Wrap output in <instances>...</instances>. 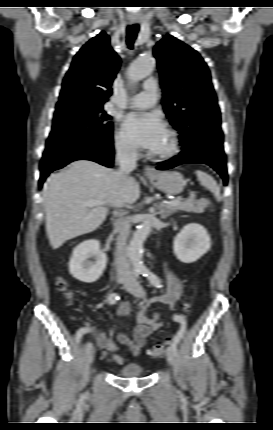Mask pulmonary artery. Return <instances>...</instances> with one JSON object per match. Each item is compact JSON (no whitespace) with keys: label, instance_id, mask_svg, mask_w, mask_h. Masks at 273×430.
<instances>
[{"label":"pulmonary artery","instance_id":"obj_1","mask_svg":"<svg viewBox=\"0 0 273 430\" xmlns=\"http://www.w3.org/2000/svg\"><path fill=\"white\" fill-rule=\"evenodd\" d=\"M143 91L131 98L129 104L132 107L146 109L153 107L158 100V85L155 79H147Z\"/></svg>","mask_w":273,"mask_h":430}]
</instances>
